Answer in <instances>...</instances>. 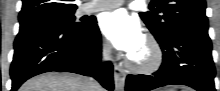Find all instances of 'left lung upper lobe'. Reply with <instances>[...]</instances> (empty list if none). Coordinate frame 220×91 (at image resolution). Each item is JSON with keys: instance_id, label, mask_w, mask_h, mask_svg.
<instances>
[{"instance_id": "obj_1", "label": "left lung upper lobe", "mask_w": 220, "mask_h": 91, "mask_svg": "<svg viewBox=\"0 0 220 91\" xmlns=\"http://www.w3.org/2000/svg\"><path fill=\"white\" fill-rule=\"evenodd\" d=\"M151 5L156 9L141 12L140 17L157 41H165L179 30L208 32L205 0H152Z\"/></svg>"}]
</instances>
